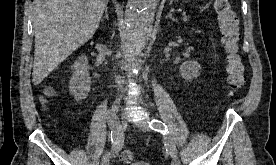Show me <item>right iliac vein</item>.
Listing matches in <instances>:
<instances>
[{"label":"right iliac vein","instance_id":"right-iliac-vein-1","mask_svg":"<svg viewBox=\"0 0 276 165\" xmlns=\"http://www.w3.org/2000/svg\"><path fill=\"white\" fill-rule=\"evenodd\" d=\"M118 108H119V102H114L111 109L108 112V120L116 121L117 123H119L118 117H117ZM109 161H110V153L107 152L104 154L102 158L101 165H109Z\"/></svg>","mask_w":276,"mask_h":165}]
</instances>
